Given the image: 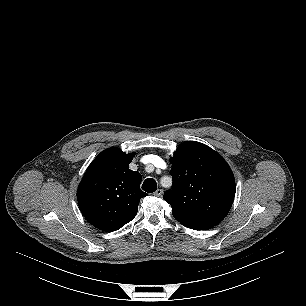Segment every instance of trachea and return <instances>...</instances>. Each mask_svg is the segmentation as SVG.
Instances as JSON below:
<instances>
[{
  "label": "trachea",
  "instance_id": "obj_1",
  "mask_svg": "<svg viewBox=\"0 0 306 306\" xmlns=\"http://www.w3.org/2000/svg\"><path fill=\"white\" fill-rule=\"evenodd\" d=\"M142 189L148 193H152L157 189V183L154 179L148 178L142 184Z\"/></svg>",
  "mask_w": 306,
  "mask_h": 306
}]
</instances>
